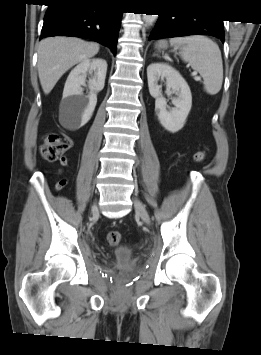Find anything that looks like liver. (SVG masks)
<instances>
[{
	"label": "liver",
	"instance_id": "6515ba94",
	"mask_svg": "<svg viewBox=\"0 0 261 355\" xmlns=\"http://www.w3.org/2000/svg\"><path fill=\"white\" fill-rule=\"evenodd\" d=\"M99 45L73 37H49L38 47V75L49 94L62 75L74 65L95 56Z\"/></svg>",
	"mask_w": 261,
	"mask_h": 355
}]
</instances>
